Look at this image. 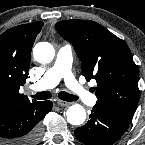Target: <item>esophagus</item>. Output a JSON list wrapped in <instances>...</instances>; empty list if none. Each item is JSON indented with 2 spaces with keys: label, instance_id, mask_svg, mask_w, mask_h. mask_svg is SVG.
Wrapping results in <instances>:
<instances>
[{
  "label": "esophagus",
  "instance_id": "34e87169",
  "mask_svg": "<svg viewBox=\"0 0 145 145\" xmlns=\"http://www.w3.org/2000/svg\"><path fill=\"white\" fill-rule=\"evenodd\" d=\"M59 106H68L70 103L64 100H57Z\"/></svg>",
  "mask_w": 145,
  "mask_h": 145
}]
</instances>
